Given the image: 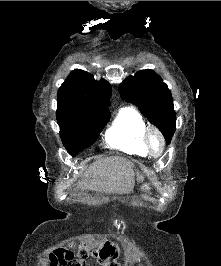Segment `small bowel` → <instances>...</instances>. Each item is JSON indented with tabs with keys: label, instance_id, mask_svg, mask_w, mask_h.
<instances>
[{
	"label": "small bowel",
	"instance_id": "small-bowel-1",
	"mask_svg": "<svg viewBox=\"0 0 221 266\" xmlns=\"http://www.w3.org/2000/svg\"><path fill=\"white\" fill-rule=\"evenodd\" d=\"M52 250L63 252H50L49 266H89L86 262L81 261V258H74L77 253L67 251V246H53Z\"/></svg>",
	"mask_w": 221,
	"mask_h": 266
}]
</instances>
